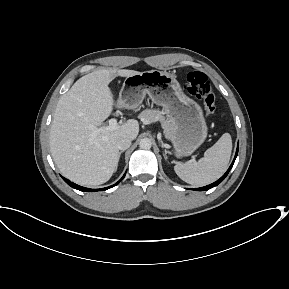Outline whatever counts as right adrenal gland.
I'll use <instances>...</instances> for the list:
<instances>
[{"instance_id":"1","label":"right adrenal gland","mask_w":289,"mask_h":289,"mask_svg":"<svg viewBox=\"0 0 289 289\" xmlns=\"http://www.w3.org/2000/svg\"><path fill=\"white\" fill-rule=\"evenodd\" d=\"M124 152V150H122V151H120L119 152V158H120V156H121V154Z\"/></svg>"}]
</instances>
